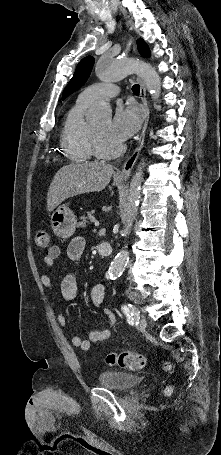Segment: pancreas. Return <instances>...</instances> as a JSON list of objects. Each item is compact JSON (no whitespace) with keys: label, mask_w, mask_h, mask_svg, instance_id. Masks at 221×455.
<instances>
[{"label":"pancreas","mask_w":221,"mask_h":455,"mask_svg":"<svg viewBox=\"0 0 221 455\" xmlns=\"http://www.w3.org/2000/svg\"><path fill=\"white\" fill-rule=\"evenodd\" d=\"M90 220L91 222L95 221L94 210L88 211L85 215L81 217V221L78 223V227L84 228L87 226Z\"/></svg>","instance_id":"cf45deb5"}]
</instances>
